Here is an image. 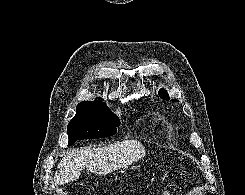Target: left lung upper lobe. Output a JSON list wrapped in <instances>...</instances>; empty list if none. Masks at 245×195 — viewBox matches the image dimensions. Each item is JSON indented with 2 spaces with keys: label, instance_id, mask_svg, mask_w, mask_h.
<instances>
[{
  "label": "left lung upper lobe",
  "instance_id": "1",
  "mask_svg": "<svg viewBox=\"0 0 245 195\" xmlns=\"http://www.w3.org/2000/svg\"><path fill=\"white\" fill-rule=\"evenodd\" d=\"M159 95L161 98L165 99V100H169V96L167 94V92L165 90H160L159 91ZM172 101H177V100H172Z\"/></svg>",
  "mask_w": 245,
  "mask_h": 195
}]
</instances>
